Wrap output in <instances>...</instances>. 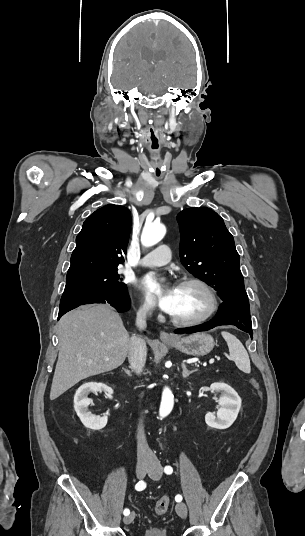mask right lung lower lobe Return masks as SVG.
I'll list each match as a JSON object with an SVG mask.
<instances>
[{"mask_svg":"<svg viewBox=\"0 0 305 536\" xmlns=\"http://www.w3.org/2000/svg\"><path fill=\"white\" fill-rule=\"evenodd\" d=\"M116 308L118 312H123L130 307V298L128 292L119 296H103L90 293H70L62 295L60 300L58 320L66 312L83 304L106 303Z\"/></svg>","mask_w":305,"mask_h":536,"instance_id":"98d812e1","label":"right lung lower lobe"}]
</instances>
